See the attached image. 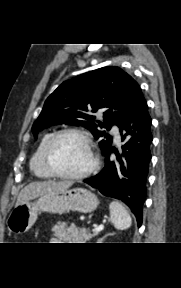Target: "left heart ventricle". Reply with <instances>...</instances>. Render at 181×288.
I'll return each instance as SVG.
<instances>
[{
	"mask_svg": "<svg viewBox=\"0 0 181 288\" xmlns=\"http://www.w3.org/2000/svg\"><path fill=\"white\" fill-rule=\"evenodd\" d=\"M56 167L69 174L79 173L90 164V154L85 142L76 135L62 137L52 154Z\"/></svg>",
	"mask_w": 181,
	"mask_h": 288,
	"instance_id": "1",
	"label": "left heart ventricle"
}]
</instances>
